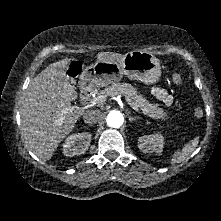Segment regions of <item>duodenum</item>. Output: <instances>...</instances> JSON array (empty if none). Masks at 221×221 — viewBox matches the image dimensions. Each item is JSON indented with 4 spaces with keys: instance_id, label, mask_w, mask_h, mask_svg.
<instances>
[{
    "instance_id": "410a0bca",
    "label": "duodenum",
    "mask_w": 221,
    "mask_h": 221,
    "mask_svg": "<svg viewBox=\"0 0 221 221\" xmlns=\"http://www.w3.org/2000/svg\"><path fill=\"white\" fill-rule=\"evenodd\" d=\"M94 89L89 85V83L84 82L81 87L80 95L82 100L87 101L93 95Z\"/></svg>"
}]
</instances>
